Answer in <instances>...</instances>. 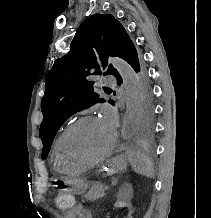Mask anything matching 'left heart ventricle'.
<instances>
[{
  "mask_svg": "<svg viewBox=\"0 0 211 218\" xmlns=\"http://www.w3.org/2000/svg\"><path fill=\"white\" fill-rule=\"evenodd\" d=\"M113 131L101 119L85 121L75 127L62 149L68 161L86 162L103 153L112 143Z\"/></svg>",
  "mask_w": 211,
  "mask_h": 218,
  "instance_id": "obj_1",
  "label": "left heart ventricle"
}]
</instances>
